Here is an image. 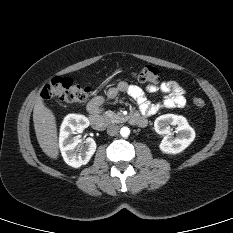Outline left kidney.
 <instances>
[{"mask_svg":"<svg viewBox=\"0 0 233 233\" xmlns=\"http://www.w3.org/2000/svg\"><path fill=\"white\" fill-rule=\"evenodd\" d=\"M170 125L176 126L174 137ZM154 129L158 134L165 135L159 148L166 154H177L185 150L195 139V131L189 125L187 119L181 115L165 114L156 118Z\"/></svg>","mask_w":233,"mask_h":233,"instance_id":"obj_1","label":"left kidney"}]
</instances>
